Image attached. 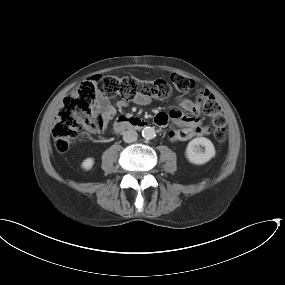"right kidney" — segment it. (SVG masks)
I'll use <instances>...</instances> for the list:
<instances>
[{"instance_id": "right-kidney-1", "label": "right kidney", "mask_w": 285, "mask_h": 285, "mask_svg": "<svg viewBox=\"0 0 285 285\" xmlns=\"http://www.w3.org/2000/svg\"><path fill=\"white\" fill-rule=\"evenodd\" d=\"M93 165H94V159L93 158H87L82 162L81 167L84 170L88 171L93 167Z\"/></svg>"}]
</instances>
